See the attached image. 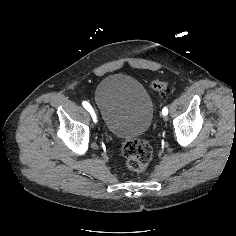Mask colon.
I'll list each match as a JSON object with an SVG mask.
<instances>
[{"label": "colon", "instance_id": "obj_1", "mask_svg": "<svg viewBox=\"0 0 236 236\" xmlns=\"http://www.w3.org/2000/svg\"><path fill=\"white\" fill-rule=\"evenodd\" d=\"M151 87L161 94H164L168 89L167 83L162 80H154ZM122 153L127 169L135 173L143 172L152 159L151 146L138 139L125 140L122 144Z\"/></svg>", "mask_w": 236, "mask_h": 236}]
</instances>
